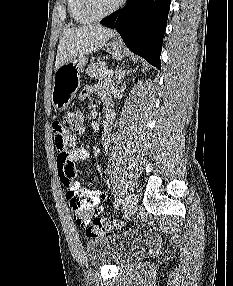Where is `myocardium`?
<instances>
[{
    "instance_id": "obj_1",
    "label": "myocardium",
    "mask_w": 233,
    "mask_h": 286,
    "mask_svg": "<svg viewBox=\"0 0 233 286\" xmlns=\"http://www.w3.org/2000/svg\"><path fill=\"white\" fill-rule=\"evenodd\" d=\"M86 11L95 19L107 17L118 10L124 3V0L117 1L111 8L100 10L95 0H83Z\"/></svg>"
}]
</instances>
